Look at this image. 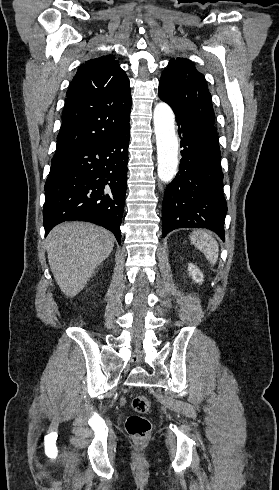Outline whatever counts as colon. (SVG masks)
Masks as SVG:
<instances>
[{
	"label": "colon",
	"instance_id": "5ec220e1",
	"mask_svg": "<svg viewBox=\"0 0 279 490\" xmlns=\"http://www.w3.org/2000/svg\"><path fill=\"white\" fill-rule=\"evenodd\" d=\"M150 400L147 396H135L132 399L133 413L126 420V431L132 442H149L151 421L145 417L150 409Z\"/></svg>",
	"mask_w": 279,
	"mask_h": 490
}]
</instances>
